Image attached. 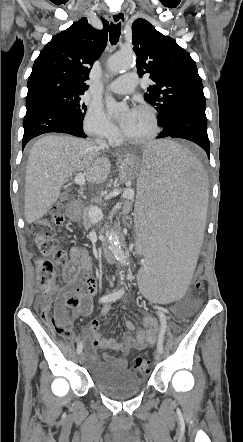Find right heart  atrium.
Segmentation results:
<instances>
[{
    "label": "right heart atrium",
    "mask_w": 243,
    "mask_h": 442,
    "mask_svg": "<svg viewBox=\"0 0 243 442\" xmlns=\"http://www.w3.org/2000/svg\"><path fill=\"white\" fill-rule=\"evenodd\" d=\"M83 128L88 135L110 142L115 141L119 134L102 108L95 105L88 108L83 120Z\"/></svg>",
    "instance_id": "1"
}]
</instances>
